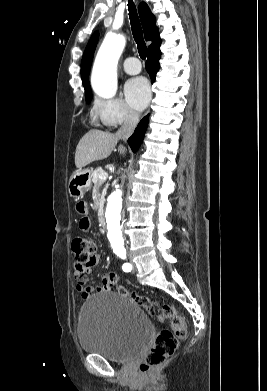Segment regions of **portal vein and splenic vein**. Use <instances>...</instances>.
Returning a JSON list of instances; mask_svg holds the SVG:
<instances>
[{
  "mask_svg": "<svg viewBox=\"0 0 267 391\" xmlns=\"http://www.w3.org/2000/svg\"><path fill=\"white\" fill-rule=\"evenodd\" d=\"M107 177H108V173H106V172L102 173V174L99 176V178H100L101 180H106Z\"/></svg>",
  "mask_w": 267,
  "mask_h": 391,
  "instance_id": "1",
  "label": "portal vein and splenic vein"
}]
</instances>
